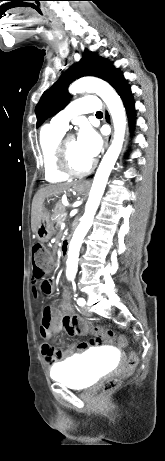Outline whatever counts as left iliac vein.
<instances>
[{
	"mask_svg": "<svg viewBox=\"0 0 165 461\" xmlns=\"http://www.w3.org/2000/svg\"><path fill=\"white\" fill-rule=\"evenodd\" d=\"M82 314L85 316H91V312L89 311L87 306L82 307Z\"/></svg>",
	"mask_w": 165,
	"mask_h": 461,
	"instance_id": "obj_1",
	"label": "left iliac vein"
}]
</instances>
